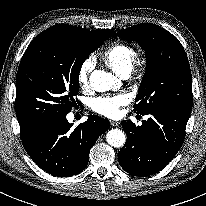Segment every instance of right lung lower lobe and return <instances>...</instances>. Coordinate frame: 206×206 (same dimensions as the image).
<instances>
[{"mask_svg":"<svg viewBox=\"0 0 206 206\" xmlns=\"http://www.w3.org/2000/svg\"><path fill=\"white\" fill-rule=\"evenodd\" d=\"M72 126L65 115L20 127L26 152L47 173L68 177L82 172L88 164L90 149L110 128V123L89 115L86 122L76 128Z\"/></svg>","mask_w":206,"mask_h":206,"instance_id":"obj_1","label":"right lung lower lobe"}]
</instances>
